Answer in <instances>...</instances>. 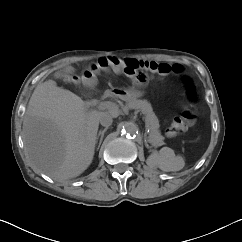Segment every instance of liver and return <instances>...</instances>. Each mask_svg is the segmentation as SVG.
<instances>
[{
  "mask_svg": "<svg viewBox=\"0 0 242 242\" xmlns=\"http://www.w3.org/2000/svg\"><path fill=\"white\" fill-rule=\"evenodd\" d=\"M74 72L66 66L55 77L70 81ZM101 114L88 110L79 96L53 80L37 85L23 120L25 150L33 168L57 181L82 174L94 157Z\"/></svg>",
  "mask_w": 242,
  "mask_h": 242,
  "instance_id": "6515ba94",
  "label": "liver"
}]
</instances>
